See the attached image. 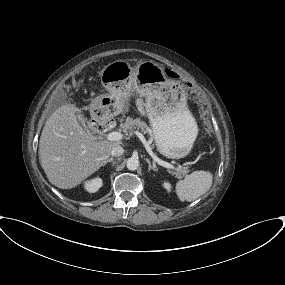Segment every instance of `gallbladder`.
<instances>
[{
    "mask_svg": "<svg viewBox=\"0 0 285 285\" xmlns=\"http://www.w3.org/2000/svg\"><path fill=\"white\" fill-rule=\"evenodd\" d=\"M76 117H77V121H78L79 125L82 128H84L85 130H87L88 133L92 136L93 133L89 130V124H88V122L86 123V119L84 118L83 113H81L80 111H77Z\"/></svg>",
    "mask_w": 285,
    "mask_h": 285,
    "instance_id": "gallbladder-1",
    "label": "gallbladder"
}]
</instances>
